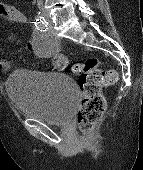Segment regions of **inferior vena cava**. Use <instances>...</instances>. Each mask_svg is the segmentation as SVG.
<instances>
[{"label":"inferior vena cava","instance_id":"inferior-vena-cava-1","mask_svg":"<svg viewBox=\"0 0 143 170\" xmlns=\"http://www.w3.org/2000/svg\"><path fill=\"white\" fill-rule=\"evenodd\" d=\"M38 6L39 8H43V0H38Z\"/></svg>","mask_w":143,"mask_h":170}]
</instances>
